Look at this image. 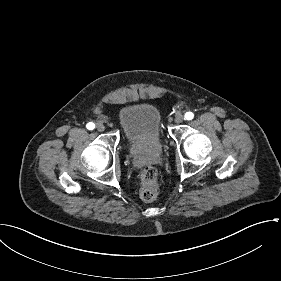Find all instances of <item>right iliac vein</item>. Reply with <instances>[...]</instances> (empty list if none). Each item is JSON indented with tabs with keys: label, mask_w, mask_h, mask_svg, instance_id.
<instances>
[{
	"label": "right iliac vein",
	"mask_w": 281,
	"mask_h": 281,
	"mask_svg": "<svg viewBox=\"0 0 281 281\" xmlns=\"http://www.w3.org/2000/svg\"><path fill=\"white\" fill-rule=\"evenodd\" d=\"M96 129L99 131V132H103L105 130V126L103 124H98L96 126Z\"/></svg>",
	"instance_id": "63e3f726"
}]
</instances>
